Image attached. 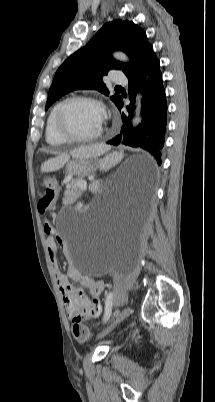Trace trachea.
Wrapping results in <instances>:
<instances>
[{
    "label": "trachea",
    "mask_w": 215,
    "mask_h": 402,
    "mask_svg": "<svg viewBox=\"0 0 215 402\" xmlns=\"http://www.w3.org/2000/svg\"><path fill=\"white\" fill-rule=\"evenodd\" d=\"M116 88H121L120 86H116Z\"/></svg>",
    "instance_id": "3493384b"
}]
</instances>
